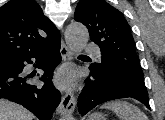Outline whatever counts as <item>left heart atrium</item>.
<instances>
[{
  "label": "left heart atrium",
  "instance_id": "obj_1",
  "mask_svg": "<svg viewBox=\"0 0 165 120\" xmlns=\"http://www.w3.org/2000/svg\"><path fill=\"white\" fill-rule=\"evenodd\" d=\"M76 75L73 69L63 68L55 77L56 84L61 88H70L75 84Z\"/></svg>",
  "mask_w": 165,
  "mask_h": 120
}]
</instances>
